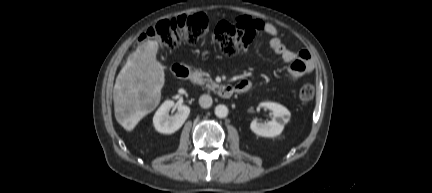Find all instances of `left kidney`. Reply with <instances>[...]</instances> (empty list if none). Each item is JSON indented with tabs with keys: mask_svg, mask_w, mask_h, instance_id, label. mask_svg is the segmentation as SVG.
Here are the masks:
<instances>
[{
	"mask_svg": "<svg viewBox=\"0 0 432 193\" xmlns=\"http://www.w3.org/2000/svg\"><path fill=\"white\" fill-rule=\"evenodd\" d=\"M272 111L273 118L267 123H258L253 120L250 124V129L262 137H275L282 133L284 125L290 120L289 110L281 104L274 102H262L259 105Z\"/></svg>",
	"mask_w": 432,
	"mask_h": 193,
	"instance_id": "5707ae66",
	"label": "left kidney"
}]
</instances>
